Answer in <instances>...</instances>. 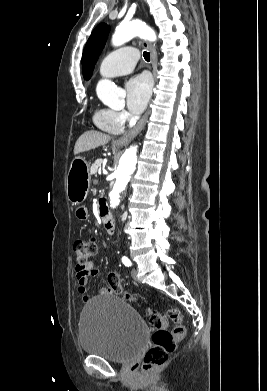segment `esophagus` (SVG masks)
I'll return each instance as SVG.
<instances>
[{
  "label": "esophagus",
  "instance_id": "34e87169",
  "mask_svg": "<svg viewBox=\"0 0 267 391\" xmlns=\"http://www.w3.org/2000/svg\"><path fill=\"white\" fill-rule=\"evenodd\" d=\"M142 45L146 49L149 50L150 55H151V63H152L153 68H155L156 67V63H157V54H156L155 48L153 47L152 44H150L147 41H144L142 43ZM149 113H150V111L147 110V112L142 117V119L138 122V124L133 129L128 131L126 134H124L122 137L117 139L115 141V144L118 145V146L127 145L143 129V127H144V125L146 123V120L148 118Z\"/></svg>",
  "mask_w": 267,
  "mask_h": 391
}]
</instances>
